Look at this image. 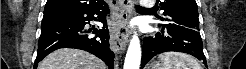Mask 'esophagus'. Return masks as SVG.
I'll list each match as a JSON object with an SVG mask.
<instances>
[{
	"mask_svg": "<svg viewBox=\"0 0 246 69\" xmlns=\"http://www.w3.org/2000/svg\"><path fill=\"white\" fill-rule=\"evenodd\" d=\"M131 0H119L117 7V21L110 32V47L115 53L125 49L129 40V17Z\"/></svg>",
	"mask_w": 246,
	"mask_h": 69,
	"instance_id": "34e87169",
	"label": "esophagus"
}]
</instances>
